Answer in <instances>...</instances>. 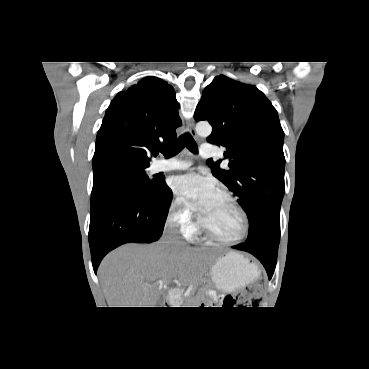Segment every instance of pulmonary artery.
Here are the masks:
<instances>
[{
	"label": "pulmonary artery",
	"instance_id": "pulmonary-artery-1",
	"mask_svg": "<svg viewBox=\"0 0 369 369\" xmlns=\"http://www.w3.org/2000/svg\"><path fill=\"white\" fill-rule=\"evenodd\" d=\"M215 155V148L211 144H203L200 148V156L203 158H210ZM190 163L186 161H179L171 159L168 161H161L157 164L158 171H172V170H186L190 167Z\"/></svg>",
	"mask_w": 369,
	"mask_h": 369
}]
</instances>
